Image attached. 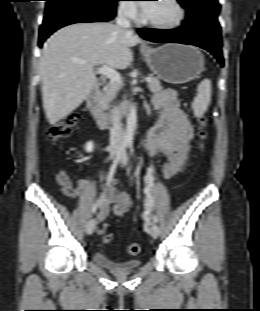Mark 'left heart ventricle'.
<instances>
[{"label": "left heart ventricle", "mask_w": 260, "mask_h": 311, "mask_svg": "<svg viewBox=\"0 0 260 311\" xmlns=\"http://www.w3.org/2000/svg\"><path fill=\"white\" fill-rule=\"evenodd\" d=\"M147 18L155 23L167 24L177 17V10L169 0H158L151 4L150 9L145 12Z\"/></svg>", "instance_id": "obj_1"}]
</instances>
